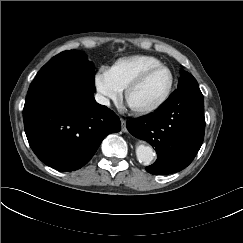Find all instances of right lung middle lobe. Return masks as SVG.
<instances>
[{
  "mask_svg": "<svg viewBox=\"0 0 243 243\" xmlns=\"http://www.w3.org/2000/svg\"><path fill=\"white\" fill-rule=\"evenodd\" d=\"M95 67L82 51L68 50L54 56L37 73L36 77L75 79L94 82Z\"/></svg>",
  "mask_w": 243,
  "mask_h": 243,
  "instance_id": "right-lung-middle-lobe-1",
  "label": "right lung middle lobe"
}]
</instances>
